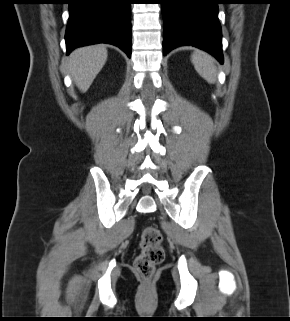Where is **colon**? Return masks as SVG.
<instances>
[{"mask_svg":"<svg viewBox=\"0 0 290 321\" xmlns=\"http://www.w3.org/2000/svg\"><path fill=\"white\" fill-rule=\"evenodd\" d=\"M163 237L156 227H146L140 239V253L135 259L134 268L138 276L148 280L153 277L155 268L164 260Z\"/></svg>","mask_w":290,"mask_h":321,"instance_id":"obj_1","label":"colon"}]
</instances>
